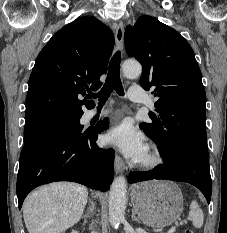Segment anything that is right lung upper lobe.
<instances>
[{"label": "right lung upper lobe", "instance_id": "obj_1", "mask_svg": "<svg viewBox=\"0 0 227 233\" xmlns=\"http://www.w3.org/2000/svg\"><path fill=\"white\" fill-rule=\"evenodd\" d=\"M114 46L111 29L81 17L54 34L29 78L24 135L42 133L82 116L86 93L97 90Z\"/></svg>", "mask_w": 227, "mask_h": 233}]
</instances>
